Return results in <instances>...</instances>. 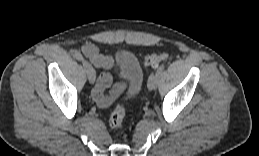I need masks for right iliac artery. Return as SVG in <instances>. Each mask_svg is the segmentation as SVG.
I'll list each match as a JSON object with an SVG mask.
<instances>
[{
	"label": "right iliac artery",
	"instance_id": "82829eb1",
	"mask_svg": "<svg viewBox=\"0 0 259 156\" xmlns=\"http://www.w3.org/2000/svg\"><path fill=\"white\" fill-rule=\"evenodd\" d=\"M74 57H75L77 60H79V61H83V60H84L82 54L79 53V52H75V53H74Z\"/></svg>",
	"mask_w": 259,
	"mask_h": 156
}]
</instances>
